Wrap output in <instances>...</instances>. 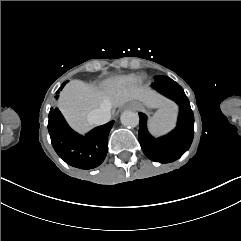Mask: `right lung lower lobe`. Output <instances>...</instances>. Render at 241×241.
I'll return each mask as SVG.
<instances>
[{
  "label": "right lung lower lobe",
  "instance_id": "right-lung-lower-lobe-1",
  "mask_svg": "<svg viewBox=\"0 0 241 241\" xmlns=\"http://www.w3.org/2000/svg\"><path fill=\"white\" fill-rule=\"evenodd\" d=\"M114 121L98 126L82 136L74 132L57 108H51L48 130L53 148L67 164L79 169H93L105 159L108 135Z\"/></svg>",
  "mask_w": 241,
  "mask_h": 241
}]
</instances>
